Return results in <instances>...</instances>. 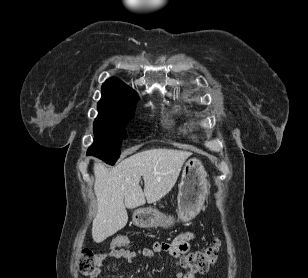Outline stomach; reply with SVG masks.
Masks as SVG:
<instances>
[{
  "label": "stomach",
  "instance_id": "0dacf381",
  "mask_svg": "<svg viewBox=\"0 0 308 278\" xmlns=\"http://www.w3.org/2000/svg\"><path fill=\"white\" fill-rule=\"evenodd\" d=\"M207 172L200 160L189 159L182 170L178 192V219L187 222L195 218L203 207L208 194ZM133 220L139 227L168 228L174 224L172 216L156 209L143 208L135 211Z\"/></svg>",
  "mask_w": 308,
  "mask_h": 278
}]
</instances>
